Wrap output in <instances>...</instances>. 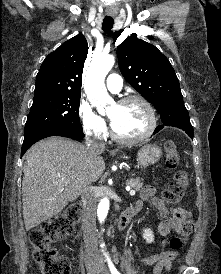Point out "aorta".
<instances>
[{"label": "aorta", "instance_id": "762f6f07", "mask_svg": "<svg viewBox=\"0 0 221 274\" xmlns=\"http://www.w3.org/2000/svg\"><path fill=\"white\" fill-rule=\"evenodd\" d=\"M114 63L115 59L111 55L99 57L94 60L86 76L85 92L91 104L97 107L98 111L103 110V107L111 102V98L108 96L105 88L104 80ZM109 205L108 198H103L99 202L97 215L101 223L107 217ZM103 246L101 245V247Z\"/></svg>", "mask_w": 221, "mask_h": 274}]
</instances>
